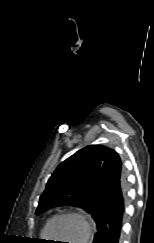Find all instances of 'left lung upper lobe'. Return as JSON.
Instances as JSON below:
<instances>
[{
    "instance_id": "obj_1",
    "label": "left lung upper lobe",
    "mask_w": 154,
    "mask_h": 243,
    "mask_svg": "<svg viewBox=\"0 0 154 243\" xmlns=\"http://www.w3.org/2000/svg\"><path fill=\"white\" fill-rule=\"evenodd\" d=\"M111 150L101 145H89L62 162L48 180L36 214L68 205L82 208L96 220L100 211L95 199L91 200L90 190Z\"/></svg>"
}]
</instances>
